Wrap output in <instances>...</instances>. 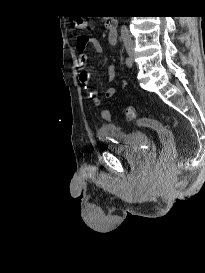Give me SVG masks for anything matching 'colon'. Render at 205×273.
I'll use <instances>...</instances> for the list:
<instances>
[{
    "mask_svg": "<svg viewBox=\"0 0 205 273\" xmlns=\"http://www.w3.org/2000/svg\"><path fill=\"white\" fill-rule=\"evenodd\" d=\"M88 26V21L83 17H75L73 20V27L78 31H83L87 29ZM105 114L106 116H109L107 110H105ZM126 117L129 121L137 125L150 127L158 133L163 144V151L158 163V170L161 173H170L176 164L177 158V148L174 143L172 131L157 119L151 117H138L135 108L132 106L127 108Z\"/></svg>",
    "mask_w": 205,
    "mask_h": 273,
    "instance_id": "1",
    "label": "colon"
}]
</instances>
